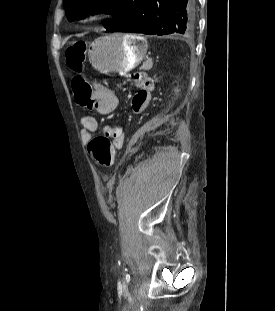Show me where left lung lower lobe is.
<instances>
[{"label": "left lung lower lobe", "instance_id": "0a47b994", "mask_svg": "<svg viewBox=\"0 0 275 311\" xmlns=\"http://www.w3.org/2000/svg\"><path fill=\"white\" fill-rule=\"evenodd\" d=\"M194 11L195 0H142L136 16L116 31L158 36L188 34L195 26Z\"/></svg>", "mask_w": 275, "mask_h": 311}]
</instances>
